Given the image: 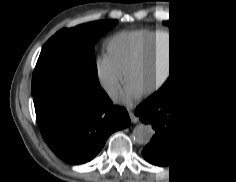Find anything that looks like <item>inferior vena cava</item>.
<instances>
[{"instance_id":"obj_1","label":"inferior vena cava","mask_w":236,"mask_h":182,"mask_svg":"<svg viewBox=\"0 0 236 182\" xmlns=\"http://www.w3.org/2000/svg\"><path fill=\"white\" fill-rule=\"evenodd\" d=\"M103 87L111 96H117L119 90V85L117 82L105 81L103 83Z\"/></svg>"}]
</instances>
